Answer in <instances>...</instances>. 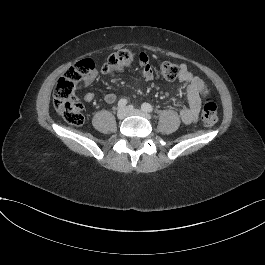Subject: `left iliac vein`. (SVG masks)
<instances>
[{"instance_id":"4c4485c4","label":"left iliac vein","mask_w":265,"mask_h":265,"mask_svg":"<svg viewBox=\"0 0 265 265\" xmlns=\"http://www.w3.org/2000/svg\"><path fill=\"white\" fill-rule=\"evenodd\" d=\"M126 110L128 112V115H138V116H142L146 119L152 118V116L149 113H147L143 110H140V109H133L132 107L129 106Z\"/></svg>"}]
</instances>
